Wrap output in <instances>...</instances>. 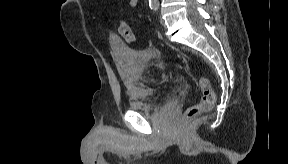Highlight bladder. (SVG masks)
Returning <instances> with one entry per match:
<instances>
[{
  "label": "bladder",
  "mask_w": 288,
  "mask_h": 164,
  "mask_svg": "<svg viewBox=\"0 0 288 164\" xmlns=\"http://www.w3.org/2000/svg\"><path fill=\"white\" fill-rule=\"evenodd\" d=\"M110 47L116 64L130 82L129 109L142 114L154 111L160 104L159 94L142 82V70L149 56L131 49L125 41L110 37Z\"/></svg>",
  "instance_id": "obj_1"
}]
</instances>
